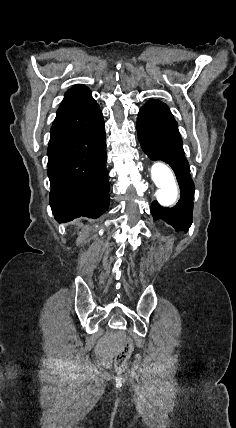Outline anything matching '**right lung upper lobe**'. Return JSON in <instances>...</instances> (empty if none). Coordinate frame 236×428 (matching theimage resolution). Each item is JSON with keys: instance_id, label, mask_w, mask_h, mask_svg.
Segmentation results:
<instances>
[{"instance_id": "obj_1", "label": "right lung upper lobe", "mask_w": 236, "mask_h": 428, "mask_svg": "<svg viewBox=\"0 0 236 428\" xmlns=\"http://www.w3.org/2000/svg\"><path fill=\"white\" fill-rule=\"evenodd\" d=\"M97 106L98 104L92 98L89 88L83 85H75L66 92L65 98L57 110V115L68 112L84 111Z\"/></svg>"}]
</instances>
